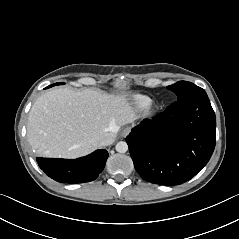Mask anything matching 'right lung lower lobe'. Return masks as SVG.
Listing matches in <instances>:
<instances>
[{
  "label": "right lung lower lobe",
  "instance_id": "1",
  "mask_svg": "<svg viewBox=\"0 0 239 239\" xmlns=\"http://www.w3.org/2000/svg\"><path fill=\"white\" fill-rule=\"evenodd\" d=\"M108 152L104 149L77 159L37 158L39 167L55 181L85 183L95 180L105 167Z\"/></svg>",
  "mask_w": 239,
  "mask_h": 239
}]
</instances>
